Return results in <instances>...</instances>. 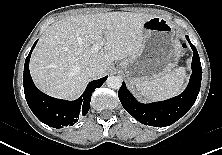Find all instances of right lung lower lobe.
I'll return each mask as SVG.
<instances>
[{
    "label": "right lung lower lobe",
    "mask_w": 222,
    "mask_h": 155,
    "mask_svg": "<svg viewBox=\"0 0 222 155\" xmlns=\"http://www.w3.org/2000/svg\"><path fill=\"white\" fill-rule=\"evenodd\" d=\"M36 43L37 41L34 43L24 65L23 85L27 103L35 116L46 125L54 128L72 126L78 121L79 116L87 114L92 92L95 88L101 87L108 76L90 82L82 96L76 101L52 98L35 87L29 72L30 56Z\"/></svg>",
    "instance_id": "obj_1"
}]
</instances>
